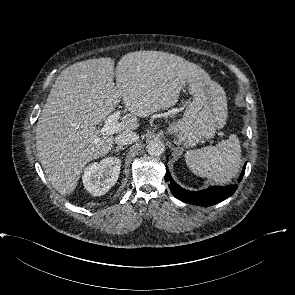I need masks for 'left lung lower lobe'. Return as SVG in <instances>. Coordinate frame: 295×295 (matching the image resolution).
Listing matches in <instances>:
<instances>
[{
    "label": "left lung lower lobe",
    "instance_id": "0a47b994",
    "mask_svg": "<svg viewBox=\"0 0 295 295\" xmlns=\"http://www.w3.org/2000/svg\"><path fill=\"white\" fill-rule=\"evenodd\" d=\"M246 164L243 168V171L239 177V182L242 180L243 174L245 172ZM165 180L170 182L169 187L172 194L179 200L208 207L214 204H217L228 197H230L238 188V185H229V186H212L208 189L201 190V191H188L181 188L176 182L172 179L169 170L167 169Z\"/></svg>",
    "mask_w": 295,
    "mask_h": 295
}]
</instances>
